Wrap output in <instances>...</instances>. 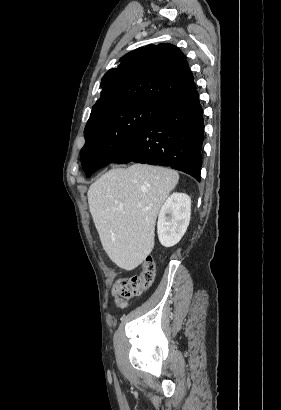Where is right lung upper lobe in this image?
<instances>
[{"mask_svg": "<svg viewBox=\"0 0 281 410\" xmlns=\"http://www.w3.org/2000/svg\"><path fill=\"white\" fill-rule=\"evenodd\" d=\"M120 62L103 76L101 96L90 116L122 105L148 104L159 108L196 89L185 55L172 44L138 48Z\"/></svg>", "mask_w": 281, "mask_h": 410, "instance_id": "obj_1", "label": "right lung upper lobe"}]
</instances>
